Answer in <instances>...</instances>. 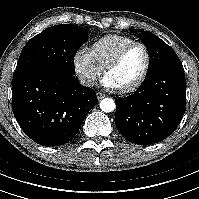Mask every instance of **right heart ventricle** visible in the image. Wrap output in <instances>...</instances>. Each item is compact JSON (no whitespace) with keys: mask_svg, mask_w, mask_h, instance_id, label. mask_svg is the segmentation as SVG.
I'll list each match as a JSON object with an SVG mask.
<instances>
[{"mask_svg":"<svg viewBox=\"0 0 199 199\" xmlns=\"http://www.w3.org/2000/svg\"><path fill=\"white\" fill-rule=\"evenodd\" d=\"M133 41L128 36L106 35L94 41L90 46L89 52L95 64L103 70L122 47Z\"/></svg>","mask_w":199,"mask_h":199,"instance_id":"e07e8e85","label":"right heart ventricle"}]
</instances>
